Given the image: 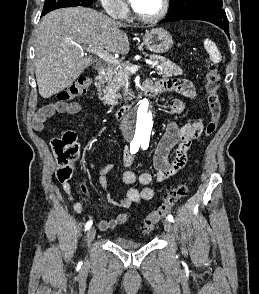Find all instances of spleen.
<instances>
[{
	"label": "spleen",
	"mask_w": 259,
	"mask_h": 294,
	"mask_svg": "<svg viewBox=\"0 0 259 294\" xmlns=\"http://www.w3.org/2000/svg\"><path fill=\"white\" fill-rule=\"evenodd\" d=\"M204 48L210 56L213 63H219L222 59L220 51L218 50L216 44L210 39L204 40Z\"/></svg>",
	"instance_id": "1"
}]
</instances>
